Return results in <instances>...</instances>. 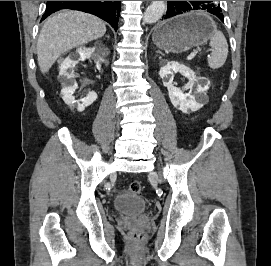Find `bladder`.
Segmentation results:
<instances>
[{
    "mask_svg": "<svg viewBox=\"0 0 271 266\" xmlns=\"http://www.w3.org/2000/svg\"><path fill=\"white\" fill-rule=\"evenodd\" d=\"M113 210L128 217H135L146 210V203L136 195L122 193L113 202Z\"/></svg>",
    "mask_w": 271,
    "mask_h": 266,
    "instance_id": "obj_1",
    "label": "bladder"
}]
</instances>
